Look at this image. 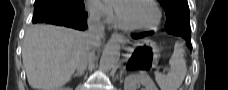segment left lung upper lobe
I'll return each mask as SVG.
<instances>
[{
	"label": "left lung upper lobe",
	"mask_w": 228,
	"mask_h": 90,
	"mask_svg": "<svg viewBox=\"0 0 228 90\" xmlns=\"http://www.w3.org/2000/svg\"><path fill=\"white\" fill-rule=\"evenodd\" d=\"M166 12V29L176 28L190 31L189 6L187 0H159Z\"/></svg>",
	"instance_id": "1"
}]
</instances>
